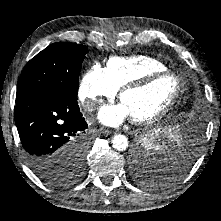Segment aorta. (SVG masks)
Masks as SVG:
<instances>
[{"mask_svg": "<svg viewBox=\"0 0 221 221\" xmlns=\"http://www.w3.org/2000/svg\"><path fill=\"white\" fill-rule=\"evenodd\" d=\"M113 147L118 151H124L128 147V139L125 135L115 134L112 138Z\"/></svg>", "mask_w": 221, "mask_h": 221, "instance_id": "762f6f07", "label": "aorta"}]
</instances>
